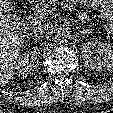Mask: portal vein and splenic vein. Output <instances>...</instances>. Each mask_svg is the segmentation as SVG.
<instances>
[{
    "mask_svg": "<svg viewBox=\"0 0 113 113\" xmlns=\"http://www.w3.org/2000/svg\"><path fill=\"white\" fill-rule=\"evenodd\" d=\"M52 11H55V8H52V9L48 10L49 13H51ZM33 23H34V24H40L41 21H40L39 19L35 18V19L33 20Z\"/></svg>",
    "mask_w": 113,
    "mask_h": 113,
    "instance_id": "portal-vein-and-splenic-vein-1",
    "label": "portal vein and splenic vein"
}]
</instances>
